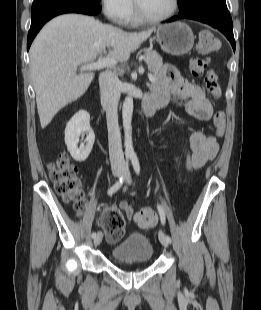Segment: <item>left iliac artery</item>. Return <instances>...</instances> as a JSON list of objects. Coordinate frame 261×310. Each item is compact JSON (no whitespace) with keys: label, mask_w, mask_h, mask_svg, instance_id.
<instances>
[{"label":"left iliac artery","mask_w":261,"mask_h":310,"mask_svg":"<svg viewBox=\"0 0 261 310\" xmlns=\"http://www.w3.org/2000/svg\"><path fill=\"white\" fill-rule=\"evenodd\" d=\"M131 161H132V165H133V168H134L136 174L139 175V173H140V165H139L138 158H137V156L135 154H133L131 156ZM157 208H158V212H159V215H160L161 223H162V225H164L165 224V213H164V210H163L161 205H157ZM166 238H167L168 242H171V238L168 235H166Z\"/></svg>","instance_id":"obj_1"}]
</instances>
